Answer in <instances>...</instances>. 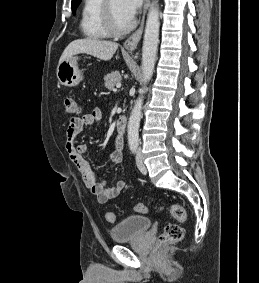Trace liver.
Masks as SVG:
<instances>
[{
  "label": "liver",
  "instance_id": "liver-1",
  "mask_svg": "<svg viewBox=\"0 0 259 283\" xmlns=\"http://www.w3.org/2000/svg\"><path fill=\"white\" fill-rule=\"evenodd\" d=\"M117 49L118 44L115 42L99 40L91 37L77 39L72 41L65 48L60 57L59 63L79 53H86L101 60L108 61L113 57Z\"/></svg>",
  "mask_w": 259,
  "mask_h": 283
}]
</instances>
